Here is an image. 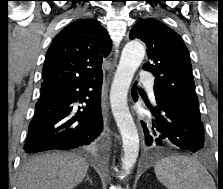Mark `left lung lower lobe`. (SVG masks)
<instances>
[{"label": "left lung lower lobe", "instance_id": "0a47b994", "mask_svg": "<svg viewBox=\"0 0 223 189\" xmlns=\"http://www.w3.org/2000/svg\"><path fill=\"white\" fill-rule=\"evenodd\" d=\"M132 96L134 101L138 99L135 85ZM155 98L154 107L146 103L153 115L152 123L141 121L145 145L154 149L165 144H174L191 152L201 150L204 147V127L201 120L171 109L159 98Z\"/></svg>", "mask_w": 223, "mask_h": 189}]
</instances>
